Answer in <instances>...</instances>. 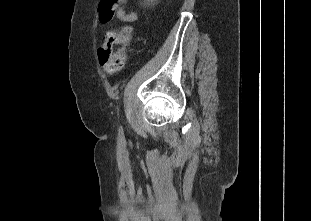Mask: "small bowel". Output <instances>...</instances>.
<instances>
[{"mask_svg": "<svg viewBox=\"0 0 311 221\" xmlns=\"http://www.w3.org/2000/svg\"><path fill=\"white\" fill-rule=\"evenodd\" d=\"M116 17L122 22H135L138 20V13L133 10H127L125 7L121 6L117 9Z\"/></svg>", "mask_w": 311, "mask_h": 221, "instance_id": "c3829d8e", "label": "small bowel"}]
</instances>
